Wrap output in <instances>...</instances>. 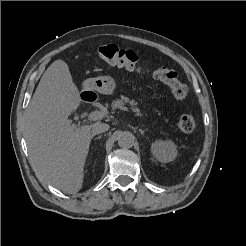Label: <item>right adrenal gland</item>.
I'll return each instance as SVG.
<instances>
[{
	"instance_id": "obj_1",
	"label": "right adrenal gland",
	"mask_w": 246,
	"mask_h": 246,
	"mask_svg": "<svg viewBox=\"0 0 246 246\" xmlns=\"http://www.w3.org/2000/svg\"><path fill=\"white\" fill-rule=\"evenodd\" d=\"M93 137H94V136L92 135L91 138H93ZM100 138H101V135L98 136V137H96L95 139L98 140V139H100Z\"/></svg>"
}]
</instances>
